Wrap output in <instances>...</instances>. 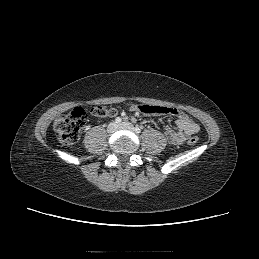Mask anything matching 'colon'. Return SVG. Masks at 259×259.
I'll use <instances>...</instances> for the list:
<instances>
[{
    "instance_id": "1",
    "label": "colon",
    "mask_w": 259,
    "mask_h": 259,
    "mask_svg": "<svg viewBox=\"0 0 259 259\" xmlns=\"http://www.w3.org/2000/svg\"><path fill=\"white\" fill-rule=\"evenodd\" d=\"M89 114L98 120H103L115 116L117 110L106 106L77 107L69 113L59 116L53 125L58 142L65 146L77 143L80 138V131L85 126ZM198 141V137L194 136L188 140V144L195 146Z\"/></svg>"
}]
</instances>
